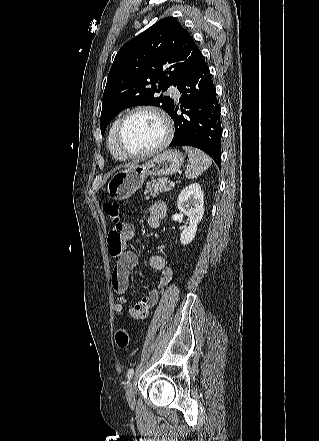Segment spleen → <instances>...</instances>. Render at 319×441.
I'll use <instances>...</instances> for the list:
<instances>
[{
  "mask_svg": "<svg viewBox=\"0 0 319 441\" xmlns=\"http://www.w3.org/2000/svg\"><path fill=\"white\" fill-rule=\"evenodd\" d=\"M183 149L188 153L190 161V165L185 171L186 178L194 179L210 167L212 161L203 151L187 146H184Z\"/></svg>",
  "mask_w": 319,
  "mask_h": 441,
  "instance_id": "obj_1",
  "label": "spleen"
}]
</instances>
